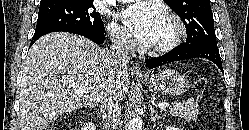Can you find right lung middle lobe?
<instances>
[{"instance_id":"dd1d6c3e","label":"right lung middle lobe","mask_w":249,"mask_h":130,"mask_svg":"<svg viewBox=\"0 0 249 130\" xmlns=\"http://www.w3.org/2000/svg\"><path fill=\"white\" fill-rule=\"evenodd\" d=\"M95 10L93 0H65L54 5L40 6L34 34L70 27L104 33L101 16Z\"/></svg>"}]
</instances>
